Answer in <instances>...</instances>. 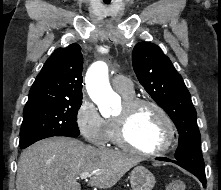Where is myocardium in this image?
Returning <instances> with one entry per match:
<instances>
[{"instance_id":"1","label":"myocardium","mask_w":221,"mask_h":190,"mask_svg":"<svg viewBox=\"0 0 221 190\" xmlns=\"http://www.w3.org/2000/svg\"><path fill=\"white\" fill-rule=\"evenodd\" d=\"M150 106L154 108L162 117L167 134L164 143L155 149H141L135 146L129 139L128 136V123L131 114L140 106ZM114 122L116 125V130H117V139H118V144L133 153H137L140 155L144 156H157L166 153L167 151L170 150V148L173 146L174 141H175V136H176V131H175V126L173 123V120L167 113V111L157 102L150 100V99H145V98H132V99H127L124 100L123 102V110L121 114L116 115L114 117Z\"/></svg>"}]
</instances>
